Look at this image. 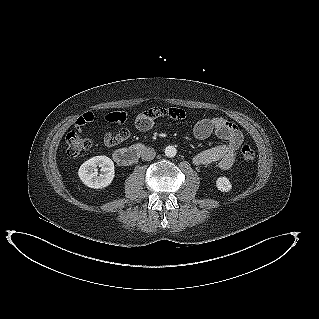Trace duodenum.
<instances>
[{"label": "duodenum", "mask_w": 319, "mask_h": 319, "mask_svg": "<svg viewBox=\"0 0 319 319\" xmlns=\"http://www.w3.org/2000/svg\"><path fill=\"white\" fill-rule=\"evenodd\" d=\"M145 146L143 144L137 143L128 148L117 149L114 154V160L123 166H129L133 164L144 151Z\"/></svg>", "instance_id": "duodenum-1"}]
</instances>
